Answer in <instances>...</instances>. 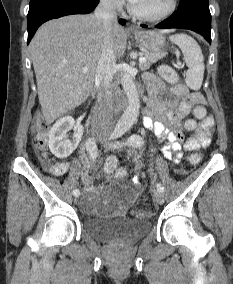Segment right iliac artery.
Segmentation results:
<instances>
[{
    "label": "right iliac artery",
    "instance_id": "1",
    "mask_svg": "<svg viewBox=\"0 0 233 284\" xmlns=\"http://www.w3.org/2000/svg\"><path fill=\"white\" fill-rule=\"evenodd\" d=\"M85 146H86V150L88 151V153L90 155L91 160L94 161L96 159V157H97V146H96V143H95L94 139L89 138L86 141ZM79 194H80L79 189L75 188L73 190V195L74 196H79Z\"/></svg>",
    "mask_w": 233,
    "mask_h": 284
}]
</instances>
